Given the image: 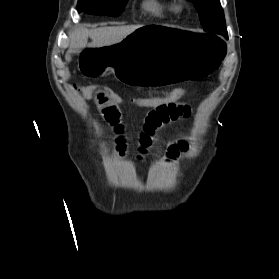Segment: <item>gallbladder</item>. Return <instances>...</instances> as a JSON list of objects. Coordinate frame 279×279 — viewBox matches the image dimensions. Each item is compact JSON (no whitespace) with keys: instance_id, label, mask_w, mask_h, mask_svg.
I'll return each instance as SVG.
<instances>
[{"instance_id":"obj_1","label":"gallbladder","mask_w":279,"mask_h":279,"mask_svg":"<svg viewBox=\"0 0 279 279\" xmlns=\"http://www.w3.org/2000/svg\"><path fill=\"white\" fill-rule=\"evenodd\" d=\"M66 61H67V62L71 61V55H70V54H67V55H66Z\"/></svg>"}]
</instances>
